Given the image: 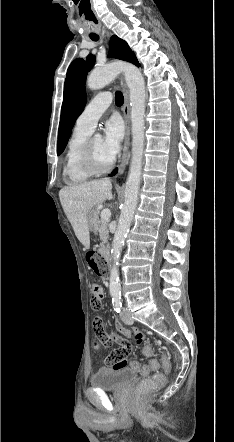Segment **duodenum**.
<instances>
[{"mask_svg": "<svg viewBox=\"0 0 234 442\" xmlns=\"http://www.w3.org/2000/svg\"><path fill=\"white\" fill-rule=\"evenodd\" d=\"M100 255H101V257L103 258V260H104L107 264L110 263V261H111V255H110V252H109V250H108L107 248H102V249L100 250Z\"/></svg>", "mask_w": 234, "mask_h": 442, "instance_id": "410a0bca", "label": "duodenum"}]
</instances>
